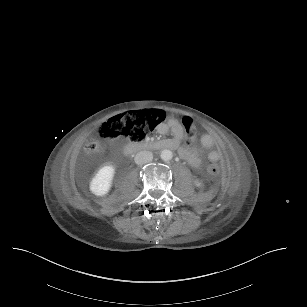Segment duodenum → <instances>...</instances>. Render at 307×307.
I'll return each mask as SVG.
<instances>
[{"instance_id": "obj_1", "label": "duodenum", "mask_w": 307, "mask_h": 307, "mask_svg": "<svg viewBox=\"0 0 307 307\" xmlns=\"http://www.w3.org/2000/svg\"><path fill=\"white\" fill-rule=\"evenodd\" d=\"M174 143L170 140H155L149 142H141V143H129L126 145V151H141L145 149H166L172 150L174 149Z\"/></svg>"}]
</instances>
